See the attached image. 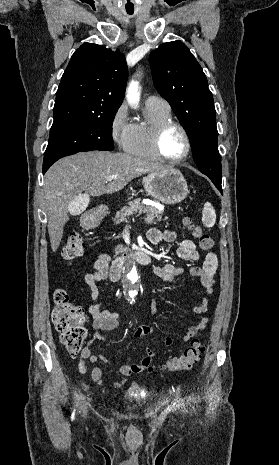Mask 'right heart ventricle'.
Masks as SVG:
<instances>
[{"label": "right heart ventricle", "mask_w": 279, "mask_h": 465, "mask_svg": "<svg viewBox=\"0 0 279 465\" xmlns=\"http://www.w3.org/2000/svg\"><path fill=\"white\" fill-rule=\"evenodd\" d=\"M144 121L133 124L131 140L125 149L126 153L144 160H157L152 148V137L155 128L162 122L172 120L170 108L145 106Z\"/></svg>", "instance_id": "right-heart-ventricle-1"}]
</instances>
